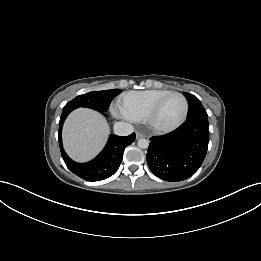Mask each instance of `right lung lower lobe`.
<instances>
[{
    "label": "right lung lower lobe",
    "mask_w": 261,
    "mask_h": 261,
    "mask_svg": "<svg viewBox=\"0 0 261 261\" xmlns=\"http://www.w3.org/2000/svg\"><path fill=\"white\" fill-rule=\"evenodd\" d=\"M72 110L63 109L59 121V146L65 164L71 172L87 181H99L112 176L121 164L125 148L135 140V133L126 137L110 135L105 148L95 159L87 163L74 162L65 153L61 137L63 123Z\"/></svg>",
    "instance_id": "right-lung-lower-lobe-1"
}]
</instances>
